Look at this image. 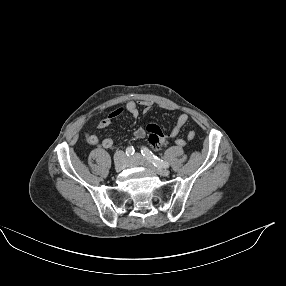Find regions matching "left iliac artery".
Instances as JSON below:
<instances>
[{
  "label": "left iliac artery",
  "mask_w": 286,
  "mask_h": 286,
  "mask_svg": "<svg viewBox=\"0 0 286 286\" xmlns=\"http://www.w3.org/2000/svg\"><path fill=\"white\" fill-rule=\"evenodd\" d=\"M141 153H142V155H144L147 158V160H149L152 164H154V166L163 167V168L169 167L168 162L163 161L160 158H158L157 156H155L151 151H149L148 148L143 147L141 149Z\"/></svg>",
  "instance_id": "left-iliac-artery-1"
}]
</instances>
